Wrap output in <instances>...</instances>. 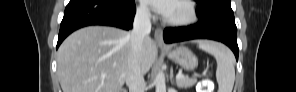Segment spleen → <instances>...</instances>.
Returning <instances> with one entry per match:
<instances>
[{
  "instance_id": "obj_1",
  "label": "spleen",
  "mask_w": 296,
  "mask_h": 92,
  "mask_svg": "<svg viewBox=\"0 0 296 92\" xmlns=\"http://www.w3.org/2000/svg\"><path fill=\"white\" fill-rule=\"evenodd\" d=\"M199 48L214 56L217 62L216 79L218 92H232L235 81L234 57L231 51L220 43L204 41Z\"/></svg>"
}]
</instances>
